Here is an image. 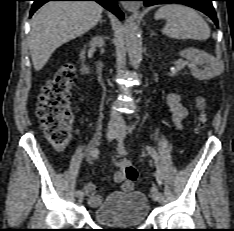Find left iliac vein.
<instances>
[{"mask_svg": "<svg viewBox=\"0 0 234 231\" xmlns=\"http://www.w3.org/2000/svg\"><path fill=\"white\" fill-rule=\"evenodd\" d=\"M124 137H125V132L121 131L117 139L118 141H122ZM151 197L153 200L158 201V188L156 185H153L151 188Z\"/></svg>", "mask_w": 234, "mask_h": 231, "instance_id": "1", "label": "left iliac vein"}]
</instances>
